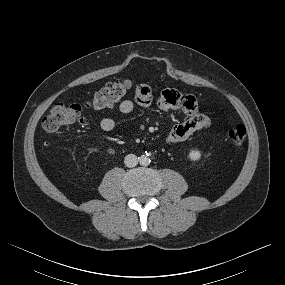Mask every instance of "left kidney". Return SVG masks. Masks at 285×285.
<instances>
[{
  "label": "left kidney",
  "instance_id": "1",
  "mask_svg": "<svg viewBox=\"0 0 285 285\" xmlns=\"http://www.w3.org/2000/svg\"><path fill=\"white\" fill-rule=\"evenodd\" d=\"M188 156L192 161H198L201 158V152L199 150H191Z\"/></svg>",
  "mask_w": 285,
  "mask_h": 285
}]
</instances>
